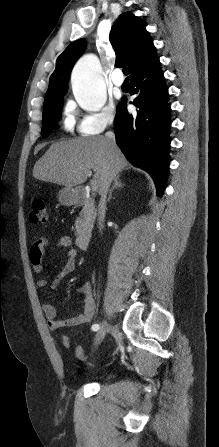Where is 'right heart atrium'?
<instances>
[{"instance_id":"right-heart-atrium-1","label":"right heart atrium","mask_w":219,"mask_h":447,"mask_svg":"<svg viewBox=\"0 0 219 447\" xmlns=\"http://www.w3.org/2000/svg\"><path fill=\"white\" fill-rule=\"evenodd\" d=\"M115 118V107L112 103H109L96 113L84 115L79 124V131L83 135L99 134L112 125Z\"/></svg>"}]
</instances>
